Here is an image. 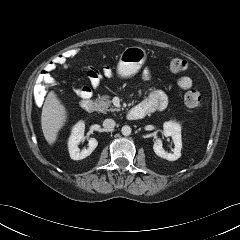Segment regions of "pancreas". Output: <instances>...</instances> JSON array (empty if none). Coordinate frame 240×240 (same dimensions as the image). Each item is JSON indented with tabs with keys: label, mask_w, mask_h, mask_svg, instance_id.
I'll return each mask as SVG.
<instances>
[{
	"label": "pancreas",
	"mask_w": 240,
	"mask_h": 240,
	"mask_svg": "<svg viewBox=\"0 0 240 240\" xmlns=\"http://www.w3.org/2000/svg\"><path fill=\"white\" fill-rule=\"evenodd\" d=\"M111 100L109 99L108 95L105 96H99L96 100H95V105L97 108V111L101 112V113H106L107 111H119L118 108H114L111 105ZM112 106V107H111ZM111 107V108H110Z\"/></svg>",
	"instance_id": "obj_1"
}]
</instances>
